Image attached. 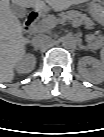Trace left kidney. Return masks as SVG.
Listing matches in <instances>:
<instances>
[{
	"mask_svg": "<svg viewBox=\"0 0 104 137\" xmlns=\"http://www.w3.org/2000/svg\"><path fill=\"white\" fill-rule=\"evenodd\" d=\"M86 65L92 66L94 69V72L89 73L87 69L85 68ZM79 67H80L81 73L87 75L92 80H96L97 82H101L103 80L104 64L102 61L86 56L79 61Z\"/></svg>",
	"mask_w": 104,
	"mask_h": 137,
	"instance_id": "left-kidney-1",
	"label": "left kidney"
}]
</instances>
